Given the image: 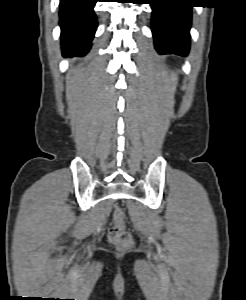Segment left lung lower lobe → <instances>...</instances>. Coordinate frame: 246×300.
<instances>
[{
    "instance_id": "0a47b994",
    "label": "left lung lower lobe",
    "mask_w": 246,
    "mask_h": 300,
    "mask_svg": "<svg viewBox=\"0 0 246 300\" xmlns=\"http://www.w3.org/2000/svg\"><path fill=\"white\" fill-rule=\"evenodd\" d=\"M152 33L159 54L186 56L190 47L191 5L188 0H150Z\"/></svg>"
}]
</instances>
